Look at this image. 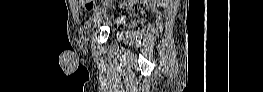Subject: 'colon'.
Segmentation results:
<instances>
[{
  "mask_svg": "<svg viewBox=\"0 0 263 92\" xmlns=\"http://www.w3.org/2000/svg\"><path fill=\"white\" fill-rule=\"evenodd\" d=\"M80 2L83 7H85L86 9H92V6L91 4L94 2V1H91V0H81V1H78Z\"/></svg>",
  "mask_w": 263,
  "mask_h": 92,
  "instance_id": "obj_1",
  "label": "colon"
}]
</instances>
